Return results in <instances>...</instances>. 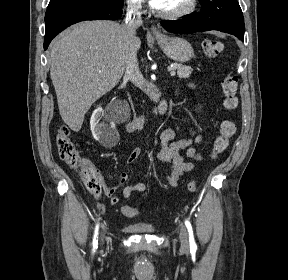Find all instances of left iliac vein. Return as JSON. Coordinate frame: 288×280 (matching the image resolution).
<instances>
[{
    "instance_id": "1",
    "label": "left iliac vein",
    "mask_w": 288,
    "mask_h": 280,
    "mask_svg": "<svg viewBox=\"0 0 288 280\" xmlns=\"http://www.w3.org/2000/svg\"><path fill=\"white\" fill-rule=\"evenodd\" d=\"M179 239L183 248H188V234L184 226L180 227Z\"/></svg>"
}]
</instances>
